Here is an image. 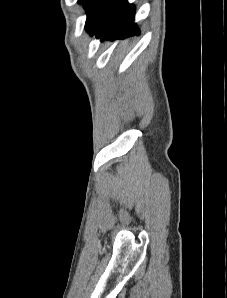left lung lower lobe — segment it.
Masks as SVG:
<instances>
[{
	"instance_id": "obj_1",
	"label": "left lung lower lobe",
	"mask_w": 227,
	"mask_h": 298,
	"mask_svg": "<svg viewBox=\"0 0 227 298\" xmlns=\"http://www.w3.org/2000/svg\"><path fill=\"white\" fill-rule=\"evenodd\" d=\"M134 14L135 6L127 0H108L102 16L90 34H95L101 40L139 34L140 30L133 22Z\"/></svg>"
}]
</instances>
